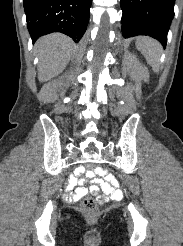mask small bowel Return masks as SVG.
Returning <instances> with one entry per match:
<instances>
[{
    "mask_svg": "<svg viewBox=\"0 0 183 246\" xmlns=\"http://www.w3.org/2000/svg\"><path fill=\"white\" fill-rule=\"evenodd\" d=\"M83 173H85V169L82 166L76 168L75 175L70 177L67 184H62L61 186L62 189H75L74 193L70 194L72 200L80 199L89 191L92 193L102 191L104 198L109 197L111 199H118L121 197L122 192L118 188L116 175H107L108 171L104 170L103 167H94L92 172H87V176L91 178V183H94L88 189L83 185ZM101 175H105L104 179L100 178Z\"/></svg>",
    "mask_w": 183,
    "mask_h": 246,
    "instance_id": "small-bowel-1",
    "label": "small bowel"
}]
</instances>
